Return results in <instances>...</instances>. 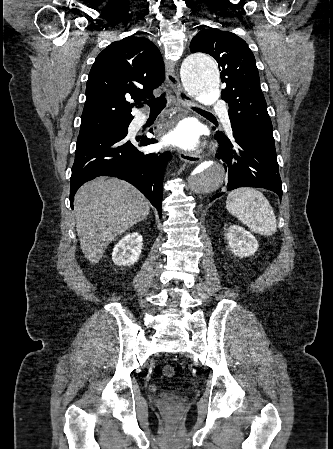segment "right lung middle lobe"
<instances>
[{"label": "right lung middle lobe", "mask_w": 333, "mask_h": 449, "mask_svg": "<svg viewBox=\"0 0 333 449\" xmlns=\"http://www.w3.org/2000/svg\"><path fill=\"white\" fill-rule=\"evenodd\" d=\"M129 122L125 123H114V124H106V125H100L90 128H84L80 129L79 135H86V134H96V133H102V132H109V131H124L128 129Z\"/></svg>", "instance_id": "1"}]
</instances>
